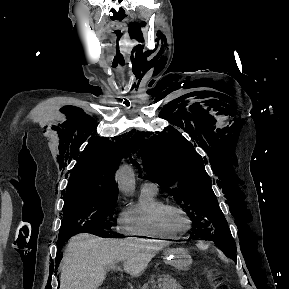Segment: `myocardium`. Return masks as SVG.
I'll return each mask as SVG.
<instances>
[{"label": "myocardium", "instance_id": "f54148a6", "mask_svg": "<svg viewBox=\"0 0 289 289\" xmlns=\"http://www.w3.org/2000/svg\"><path fill=\"white\" fill-rule=\"evenodd\" d=\"M170 211H176L182 214L185 219L187 220V227L182 230V231H173L170 229L166 223V214ZM156 221L159 224V226L166 231L168 234L172 236H181L186 234L187 232L190 231L192 221L191 218L188 214V212L180 205L176 203H164L157 211L156 213Z\"/></svg>", "mask_w": 289, "mask_h": 289}]
</instances>
